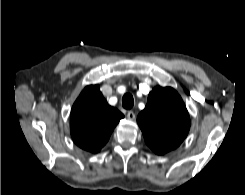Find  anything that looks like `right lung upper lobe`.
I'll return each instance as SVG.
<instances>
[{
  "label": "right lung upper lobe",
  "mask_w": 245,
  "mask_h": 195,
  "mask_svg": "<svg viewBox=\"0 0 245 195\" xmlns=\"http://www.w3.org/2000/svg\"><path fill=\"white\" fill-rule=\"evenodd\" d=\"M123 117L121 112L108 105L99 85H89L81 92L71 110L72 138L80 148L97 153Z\"/></svg>",
  "instance_id": "right-lung-upper-lobe-1"
}]
</instances>
